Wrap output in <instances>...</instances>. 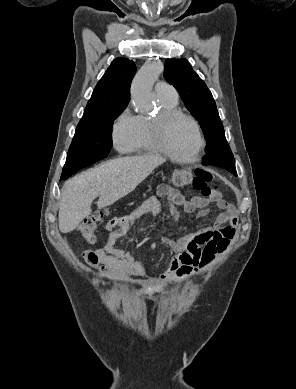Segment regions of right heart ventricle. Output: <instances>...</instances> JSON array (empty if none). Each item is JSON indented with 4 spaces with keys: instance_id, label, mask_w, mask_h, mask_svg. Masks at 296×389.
I'll list each match as a JSON object with an SVG mask.
<instances>
[{
    "instance_id": "e07e8e85",
    "label": "right heart ventricle",
    "mask_w": 296,
    "mask_h": 389,
    "mask_svg": "<svg viewBox=\"0 0 296 389\" xmlns=\"http://www.w3.org/2000/svg\"><path fill=\"white\" fill-rule=\"evenodd\" d=\"M162 109H177L178 99L158 96ZM152 117L136 116L135 133L129 151L136 154H154L157 149L153 143L150 130Z\"/></svg>"
}]
</instances>
